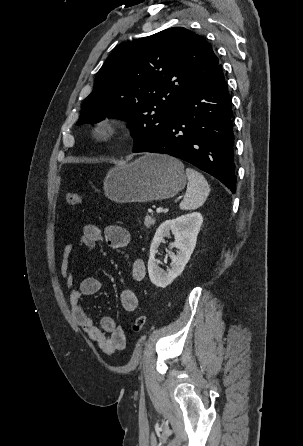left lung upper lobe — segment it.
Wrapping results in <instances>:
<instances>
[{
    "instance_id": "left-lung-upper-lobe-1",
    "label": "left lung upper lobe",
    "mask_w": 303,
    "mask_h": 446,
    "mask_svg": "<svg viewBox=\"0 0 303 446\" xmlns=\"http://www.w3.org/2000/svg\"><path fill=\"white\" fill-rule=\"evenodd\" d=\"M218 64L210 44L183 27L122 44L98 71L77 125L127 120L135 152L160 135L178 104Z\"/></svg>"
}]
</instances>
